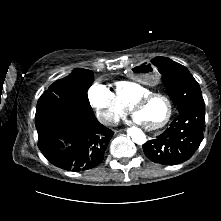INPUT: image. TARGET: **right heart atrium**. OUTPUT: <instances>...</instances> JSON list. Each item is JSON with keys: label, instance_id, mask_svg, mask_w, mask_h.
I'll return each instance as SVG.
<instances>
[{"label": "right heart atrium", "instance_id": "obj_1", "mask_svg": "<svg viewBox=\"0 0 221 221\" xmlns=\"http://www.w3.org/2000/svg\"><path fill=\"white\" fill-rule=\"evenodd\" d=\"M88 99L103 124L113 125L127 112V107L118 100L117 96L99 82L93 83L89 88Z\"/></svg>", "mask_w": 221, "mask_h": 221}]
</instances>
